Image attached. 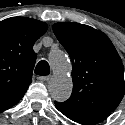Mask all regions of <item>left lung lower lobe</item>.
I'll list each match as a JSON object with an SVG mask.
<instances>
[{"label":"left lung lower lobe","mask_w":125,"mask_h":125,"mask_svg":"<svg viewBox=\"0 0 125 125\" xmlns=\"http://www.w3.org/2000/svg\"><path fill=\"white\" fill-rule=\"evenodd\" d=\"M55 106L66 117L83 125L98 124L102 122L103 120H105L111 114V112H100V113H95V114L69 113V112H63L61 108L58 106L57 102H55Z\"/></svg>","instance_id":"1"}]
</instances>
